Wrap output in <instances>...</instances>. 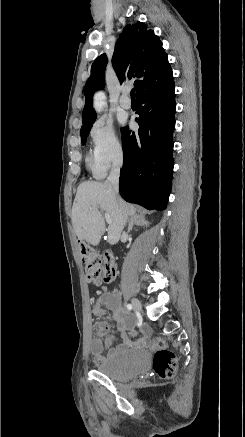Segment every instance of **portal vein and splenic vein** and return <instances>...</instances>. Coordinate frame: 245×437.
<instances>
[{
  "label": "portal vein and splenic vein",
  "instance_id": "1",
  "mask_svg": "<svg viewBox=\"0 0 245 437\" xmlns=\"http://www.w3.org/2000/svg\"><path fill=\"white\" fill-rule=\"evenodd\" d=\"M105 219L107 223H111V218L109 214H105Z\"/></svg>",
  "mask_w": 245,
  "mask_h": 437
}]
</instances>
